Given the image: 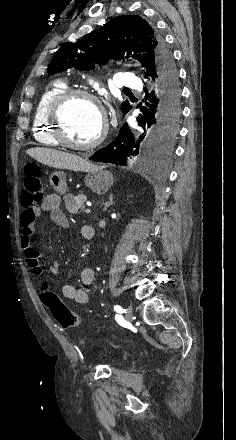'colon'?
<instances>
[{"instance_id": "colon-1", "label": "colon", "mask_w": 236, "mask_h": 440, "mask_svg": "<svg viewBox=\"0 0 236 440\" xmlns=\"http://www.w3.org/2000/svg\"><path fill=\"white\" fill-rule=\"evenodd\" d=\"M24 188L21 193V205L29 209L42 202L44 187L39 168L35 164L27 165L24 169ZM44 302L47 304L53 318L64 328L79 326L83 320L76 313L70 311L63 301L52 291L42 290Z\"/></svg>"}]
</instances>
